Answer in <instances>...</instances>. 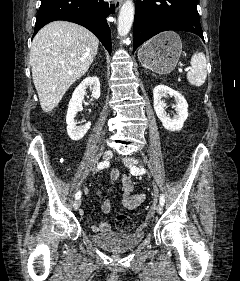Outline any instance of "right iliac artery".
Returning a JSON list of instances; mask_svg holds the SVG:
<instances>
[{
  "mask_svg": "<svg viewBox=\"0 0 240 281\" xmlns=\"http://www.w3.org/2000/svg\"><path fill=\"white\" fill-rule=\"evenodd\" d=\"M108 166V162L104 161V162H100L97 164V170H101L104 169L105 167ZM81 197V191L79 190L76 194H75V198L79 199Z\"/></svg>",
  "mask_w": 240,
  "mask_h": 281,
  "instance_id": "82829eb1",
  "label": "right iliac artery"
}]
</instances>
